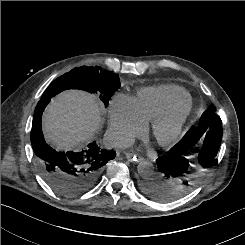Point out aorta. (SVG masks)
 <instances>
[{
    "instance_id": "obj_1",
    "label": "aorta",
    "mask_w": 245,
    "mask_h": 245,
    "mask_svg": "<svg viewBox=\"0 0 245 245\" xmlns=\"http://www.w3.org/2000/svg\"><path fill=\"white\" fill-rule=\"evenodd\" d=\"M138 173L143 178L150 177L154 172L153 164L149 161H142L137 166Z\"/></svg>"
}]
</instances>
